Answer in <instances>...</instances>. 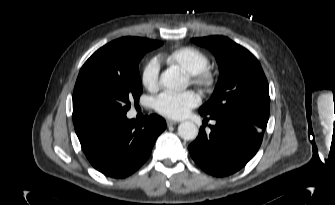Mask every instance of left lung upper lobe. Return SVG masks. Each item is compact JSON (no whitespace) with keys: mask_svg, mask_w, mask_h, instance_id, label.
<instances>
[{"mask_svg":"<svg viewBox=\"0 0 335 205\" xmlns=\"http://www.w3.org/2000/svg\"><path fill=\"white\" fill-rule=\"evenodd\" d=\"M192 42L212 51L220 70L215 90L200 114H237L267 123L269 87L255 56L224 36L193 38Z\"/></svg>","mask_w":335,"mask_h":205,"instance_id":"5c2ea615","label":"left lung upper lobe"}]
</instances>
